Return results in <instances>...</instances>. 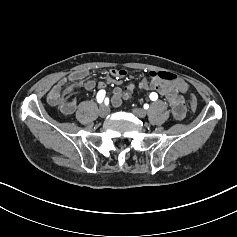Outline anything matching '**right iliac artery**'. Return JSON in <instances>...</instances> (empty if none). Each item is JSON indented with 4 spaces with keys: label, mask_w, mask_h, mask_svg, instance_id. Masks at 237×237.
Masks as SVG:
<instances>
[{
    "label": "right iliac artery",
    "mask_w": 237,
    "mask_h": 237,
    "mask_svg": "<svg viewBox=\"0 0 237 237\" xmlns=\"http://www.w3.org/2000/svg\"><path fill=\"white\" fill-rule=\"evenodd\" d=\"M105 94H106L105 90H100L97 93V101H98V103H102L103 102Z\"/></svg>",
    "instance_id": "right-iliac-artery-1"
}]
</instances>
